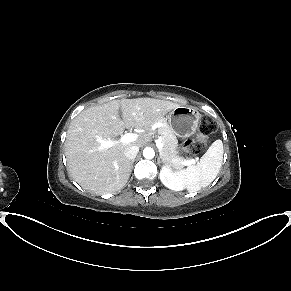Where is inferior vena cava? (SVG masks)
Listing matches in <instances>:
<instances>
[{"instance_id":"602c4592","label":"inferior vena cava","mask_w":291,"mask_h":291,"mask_svg":"<svg viewBox=\"0 0 291 291\" xmlns=\"http://www.w3.org/2000/svg\"><path fill=\"white\" fill-rule=\"evenodd\" d=\"M138 152H139V147L136 145H131L125 149L124 155L126 156L127 159L133 160L136 158Z\"/></svg>"}]
</instances>
